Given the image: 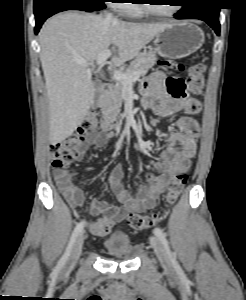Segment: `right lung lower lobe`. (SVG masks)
Returning <instances> with one entry per match:
<instances>
[{
  "instance_id": "right-lung-lower-lobe-1",
  "label": "right lung lower lobe",
  "mask_w": 246,
  "mask_h": 300,
  "mask_svg": "<svg viewBox=\"0 0 246 300\" xmlns=\"http://www.w3.org/2000/svg\"><path fill=\"white\" fill-rule=\"evenodd\" d=\"M103 9L92 0H42L34 4L35 34H38L44 21L50 16L65 10L94 12Z\"/></svg>"
}]
</instances>
